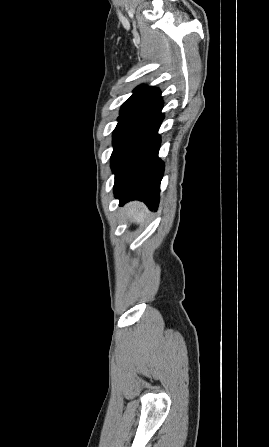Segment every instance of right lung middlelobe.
Segmentation results:
<instances>
[{"label":"right lung middle lobe","instance_id":"dd1d6c3e","mask_svg":"<svg viewBox=\"0 0 269 447\" xmlns=\"http://www.w3.org/2000/svg\"><path fill=\"white\" fill-rule=\"evenodd\" d=\"M127 115L125 114H120V117L118 118L119 121H121L124 117H126Z\"/></svg>","mask_w":269,"mask_h":447}]
</instances>
